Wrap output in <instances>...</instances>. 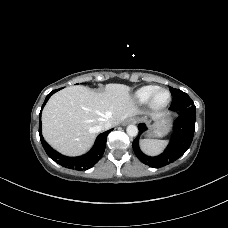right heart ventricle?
Returning <instances> with one entry per match:
<instances>
[{"instance_id": "1", "label": "right heart ventricle", "mask_w": 228, "mask_h": 228, "mask_svg": "<svg viewBox=\"0 0 228 228\" xmlns=\"http://www.w3.org/2000/svg\"><path fill=\"white\" fill-rule=\"evenodd\" d=\"M157 88L156 85H147L137 89L133 95L134 101L139 104L146 103Z\"/></svg>"}]
</instances>
